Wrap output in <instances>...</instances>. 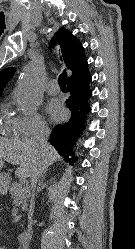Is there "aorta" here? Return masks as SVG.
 <instances>
[{"instance_id":"aorta-1","label":"aorta","mask_w":135,"mask_h":249,"mask_svg":"<svg viewBox=\"0 0 135 249\" xmlns=\"http://www.w3.org/2000/svg\"><path fill=\"white\" fill-rule=\"evenodd\" d=\"M44 78L45 68L39 62L31 63L25 69L16 92V100L25 112L32 113L39 107Z\"/></svg>"}]
</instances>
